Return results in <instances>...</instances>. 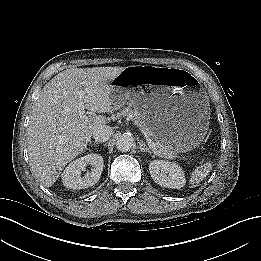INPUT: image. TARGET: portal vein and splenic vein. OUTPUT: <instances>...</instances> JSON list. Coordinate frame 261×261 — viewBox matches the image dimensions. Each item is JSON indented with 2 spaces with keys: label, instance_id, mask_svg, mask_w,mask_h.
<instances>
[{
  "label": "portal vein and splenic vein",
  "instance_id": "portal-vein-and-splenic-vein-1",
  "mask_svg": "<svg viewBox=\"0 0 261 261\" xmlns=\"http://www.w3.org/2000/svg\"><path fill=\"white\" fill-rule=\"evenodd\" d=\"M79 107H80L79 108L80 109V117H84V118H86V120H88L91 117L92 113H90L91 115H89V116L84 115V108L85 107H84L83 102H80ZM145 137H146V142H147L149 148L153 151V153L155 155H159V151L157 150L156 144L152 141V139H150V137L146 133H145Z\"/></svg>",
  "mask_w": 261,
  "mask_h": 261
}]
</instances>
